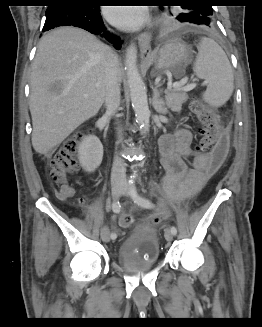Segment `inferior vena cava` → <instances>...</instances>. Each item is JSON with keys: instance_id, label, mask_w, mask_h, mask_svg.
Listing matches in <instances>:
<instances>
[{"instance_id": "obj_1", "label": "inferior vena cava", "mask_w": 262, "mask_h": 327, "mask_svg": "<svg viewBox=\"0 0 262 327\" xmlns=\"http://www.w3.org/2000/svg\"><path fill=\"white\" fill-rule=\"evenodd\" d=\"M118 60L116 56H113L107 64L106 74V94L105 104L106 113L114 114L120 106V78L118 75ZM118 140L122 141L121 131L118 132ZM126 180V168L124 161L116 155L114 157L111 181L121 182Z\"/></svg>"}]
</instances>
